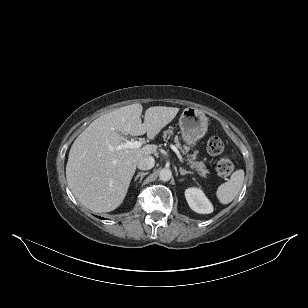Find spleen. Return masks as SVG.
Wrapping results in <instances>:
<instances>
[{
	"label": "spleen",
	"instance_id": "spleen-1",
	"mask_svg": "<svg viewBox=\"0 0 308 308\" xmlns=\"http://www.w3.org/2000/svg\"><path fill=\"white\" fill-rule=\"evenodd\" d=\"M244 182V170L239 169L232 173L230 179L221 184L217 191L216 196L220 203L228 204L232 202L239 194Z\"/></svg>",
	"mask_w": 308,
	"mask_h": 308
}]
</instances>
